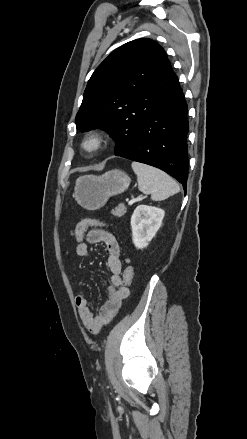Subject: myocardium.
<instances>
[{
  "label": "myocardium",
  "mask_w": 247,
  "mask_h": 439,
  "mask_svg": "<svg viewBox=\"0 0 247 439\" xmlns=\"http://www.w3.org/2000/svg\"><path fill=\"white\" fill-rule=\"evenodd\" d=\"M107 135L101 129H92L83 136L80 147L85 153H95L106 143Z\"/></svg>",
  "instance_id": "1"
}]
</instances>
